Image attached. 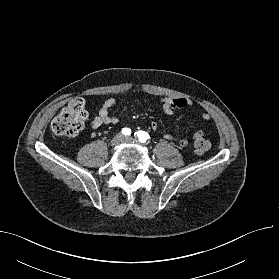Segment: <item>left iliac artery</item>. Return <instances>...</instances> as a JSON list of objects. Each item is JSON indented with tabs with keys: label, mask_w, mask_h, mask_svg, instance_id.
<instances>
[{
	"label": "left iliac artery",
	"mask_w": 279,
	"mask_h": 279,
	"mask_svg": "<svg viewBox=\"0 0 279 279\" xmlns=\"http://www.w3.org/2000/svg\"><path fill=\"white\" fill-rule=\"evenodd\" d=\"M135 136H137L138 140L142 143H145L149 140L150 136L145 131H138L135 133Z\"/></svg>",
	"instance_id": "44dca946"
}]
</instances>
